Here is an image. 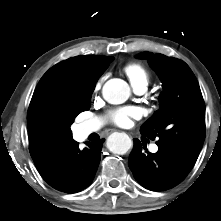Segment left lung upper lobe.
<instances>
[{
    "label": "left lung upper lobe",
    "mask_w": 221,
    "mask_h": 221,
    "mask_svg": "<svg viewBox=\"0 0 221 221\" xmlns=\"http://www.w3.org/2000/svg\"><path fill=\"white\" fill-rule=\"evenodd\" d=\"M159 75L164 90L160 108L140 129L141 134L158 141L190 169L194 166L205 139V103L197 79L189 66L176 58L144 52Z\"/></svg>",
    "instance_id": "5c2ea615"
}]
</instances>
